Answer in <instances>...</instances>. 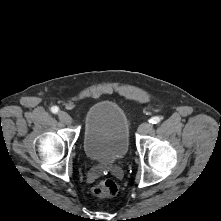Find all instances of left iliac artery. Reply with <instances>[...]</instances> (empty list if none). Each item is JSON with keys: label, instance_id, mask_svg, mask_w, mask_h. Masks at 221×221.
Masks as SVG:
<instances>
[{"label": "left iliac artery", "instance_id": "1", "mask_svg": "<svg viewBox=\"0 0 221 221\" xmlns=\"http://www.w3.org/2000/svg\"><path fill=\"white\" fill-rule=\"evenodd\" d=\"M161 121V118L158 117V116H155V117H152L150 120H149V123H152V124H157Z\"/></svg>", "mask_w": 221, "mask_h": 221}]
</instances>
